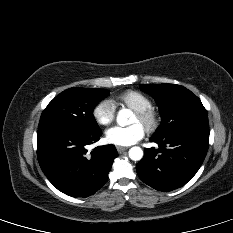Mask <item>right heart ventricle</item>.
Instances as JSON below:
<instances>
[{
  "label": "right heart ventricle",
  "mask_w": 233,
  "mask_h": 233,
  "mask_svg": "<svg viewBox=\"0 0 233 233\" xmlns=\"http://www.w3.org/2000/svg\"><path fill=\"white\" fill-rule=\"evenodd\" d=\"M118 101L135 112L143 111L152 107L151 99L136 90H128L121 93L118 96Z\"/></svg>",
  "instance_id": "obj_1"
}]
</instances>
